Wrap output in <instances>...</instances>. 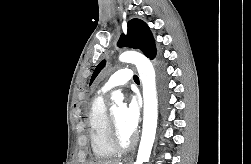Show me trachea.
<instances>
[{
	"instance_id": "obj_1",
	"label": "trachea",
	"mask_w": 251,
	"mask_h": 164,
	"mask_svg": "<svg viewBox=\"0 0 251 164\" xmlns=\"http://www.w3.org/2000/svg\"><path fill=\"white\" fill-rule=\"evenodd\" d=\"M134 81L139 82V77L137 75H134Z\"/></svg>"
}]
</instances>
